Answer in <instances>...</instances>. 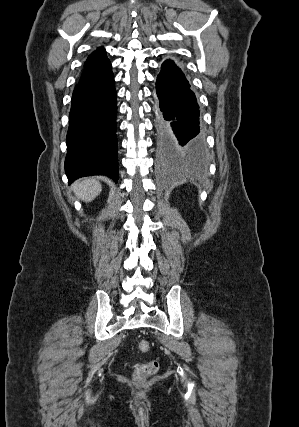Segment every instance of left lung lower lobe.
<instances>
[{
  "mask_svg": "<svg viewBox=\"0 0 299 427\" xmlns=\"http://www.w3.org/2000/svg\"><path fill=\"white\" fill-rule=\"evenodd\" d=\"M158 151L165 161L187 159L204 168V134L199 106L182 70L172 60L162 64L156 80Z\"/></svg>",
  "mask_w": 299,
  "mask_h": 427,
  "instance_id": "obj_1",
  "label": "left lung lower lobe"
}]
</instances>
